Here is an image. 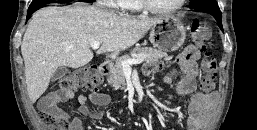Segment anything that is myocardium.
<instances>
[{"label":"myocardium","instance_id":"1","mask_svg":"<svg viewBox=\"0 0 257 130\" xmlns=\"http://www.w3.org/2000/svg\"><path fill=\"white\" fill-rule=\"evenodd\" d=\"M141 9L152 13V14H158V15H169V14H173L177 11H179L185 4L186 0H179V2L171 7V8H157L154 5H152V3L150 2V0H137Z\"/></svg>","mask_w":257,"mask_h":130}]
</instances>
